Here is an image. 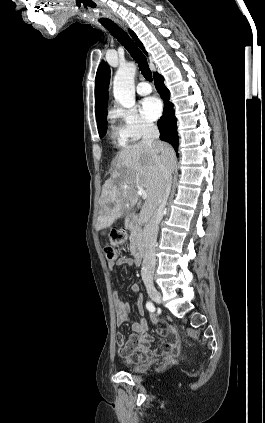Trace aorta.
<instances>
[{
  "label": "aorta",
  "mask_w": 265,
  "mask_h": 423,
  "mask_svg": "<svg viewBox=\"0 0 265 423\" xmlns=\"http://www.w3.org/2000/svg\"><path fill=\"white\" fill-rule=\"evenodd\" d=\"M135 74L136 65L129 62L121 64L114 77V98L124 108H131L135 105Z\"/></svg>",
  "instance_id": "aorta-1"
}]
</instances>
